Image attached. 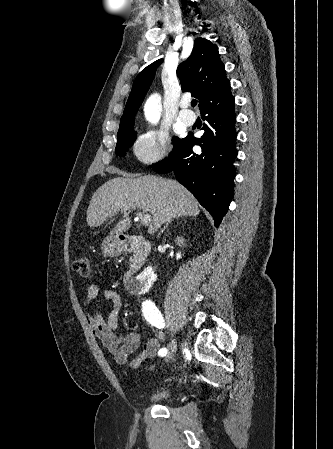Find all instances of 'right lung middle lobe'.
<instances>
[{
	"label": "right lung middle lobe",
	"mask_w": 333,
	"mask_h": 449,
	"mask_svg": "<svg viewBox=\"0 0 333 449\" xmlns=\"http://www.w3.org/2000/svg\"><path fill=\"white\" fill-rule=\"evenodd\" d=\"M133 126H134L133 120L120 122V127H119V131L117 134V145H116V150H115L117 156H123L124 154H126L129 147L132 146V144L134 143V141L136 139V133L133 130ZM179 140H180L179 138L174 139V142H173L174 147L178 143ZM171 154H172V152L170 153V155ZM161 163L162 162L155 164L152 167H156Z\"/></svg>",
	"instance_id": "right-lung-middle-lobe-1"
}]
</instances>
